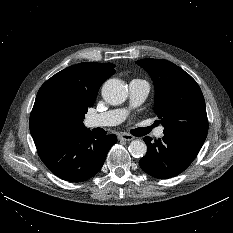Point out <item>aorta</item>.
Returning a JSON list of instances; mask_svg holds the SVG:
<instances>
[{
	"label": "aorta",
	"instance_id": "aorta-1",
	"mask_svg": "<svg viewBox=\"0 0 233 233\" xmlns=\"http://www.w3.org/2000/svg\"><path fill=\"white\" fill-rule=\"evenodd\" d=\"M128 96L126 86L117 79L106 81L102 87V97L110 105L122 104ZM129 152L133 157H143L147 152L145 142L133 140L129 145Z\"/></svg>",
	"mask_w": 233,
	"mask_h": 233
}]
</instances>
